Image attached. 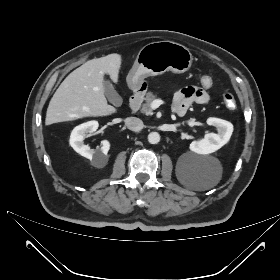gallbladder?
<instances>
[{"mask_svg":"<svg viewBox=\"0 0 280 280\" xmlns=\"http://www.w3.org/2000/svg\"><path fill=\"white\" fill-rule=\"evenodd\" d=\"M104 93L108 101L113 105L120 106L122 104L121 96L116 92L109 80H104Z\"/></svg>","mask_w":280,"mask_h":280,"instance_id":"bac80fb5","label":"gallbladder"}]
</instances>
